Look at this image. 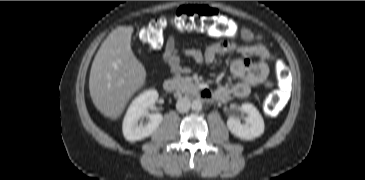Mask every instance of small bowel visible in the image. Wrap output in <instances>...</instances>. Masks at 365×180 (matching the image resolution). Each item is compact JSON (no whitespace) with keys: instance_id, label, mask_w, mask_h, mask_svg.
<instances>
[{"instance_id":"small-bowel-1","label":"small bowel","mask_w":365,"mask_h":180,"mask_svg":"<svg viewBox=\"0 0 365 180\" xmlns=\"http://www.w3.org/2000/svg\"><path fill=\"white\" fill-rule=\"evenodd\" d=\"M242 43L238 44L230 40H221L213 43L205 49L180 48L174 35H169L163 49V59L175 74H189L192 69L183 66L181 55L194 61L195 64L217 62L219 57L229 52H235L242 57L231 60L230 71L238 79L233 85H223L215 91L218 100L234 97L242 99L247 97L253 87L266 81L269 75V52L260 42L256 41L255 33L247 27L239 30Z\"/></svg>"}]
</instances>
